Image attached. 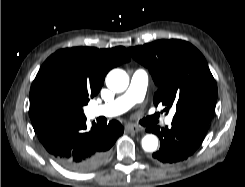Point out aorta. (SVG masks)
Returning <instances> with one entry per match:
<instances>
[{"label": "aorta", "mask_w": 245, "mask_h": 187, "mask_svg": "<svg viewBox=\"0 0 245 187\" xmlns=\"http://www.w3.org/2000/svg\"><path fill=\"white\" fill-rule=\"evenodd\" d=\"M106 85L113 92H123L129 85V77L124 70L114 69L106 77ZM158 139L153 134H147L142 139V147L147 152L157 149Z\"/></svg>", "instance_id": "1"}]
</instances>
